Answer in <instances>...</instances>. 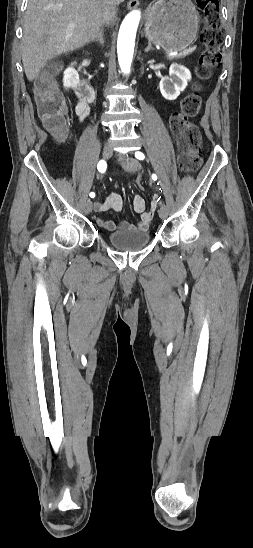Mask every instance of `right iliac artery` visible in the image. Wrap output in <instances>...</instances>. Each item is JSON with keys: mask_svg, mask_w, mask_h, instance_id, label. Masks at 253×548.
<instances>
[{"mask_svg": "<svg viewBox=\"0 0 253 548\" xmlns=\"http://www.w3.org/2000/svg\"><path fill=\"white\" fill-rule=\"evenodd\" d=\"M97 168H98V171L100 173H104L106 171V168H107V164L104 160H101L99 161L98 165H97ZM90 197L91 198H94L95 197V193L94 192H91L90 193Z\"/></svg>", "mask_w": 253, "mask_h": 548, "instance_id": "82829eb1", "label": "right iliac artery"}]
</instances>
